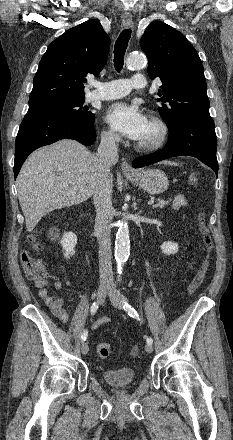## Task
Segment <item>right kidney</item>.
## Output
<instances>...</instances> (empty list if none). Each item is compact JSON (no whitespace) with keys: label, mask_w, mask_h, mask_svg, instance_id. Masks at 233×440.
Here are the masks:
<instances>
[{"label":"right kidney","mask_w":233,"mask_h":440,"mask_svg":"<svg viewBox=\"0 0 233 440\" xmlns=\"http://www.w3.org/2000/svg\"><path fill=\"white\" fill-rule=\"evenodd\" d=\"M49 238L54 240L59 237L57 229H50L48 233ZM63 250L65 251V258H70V256L75 254V246L77 244V236L73 232H66L63 234L60 241Z\"/></svg>","instance_id":"right-kidney-1"}]
</instances>
